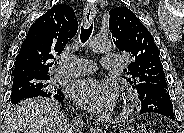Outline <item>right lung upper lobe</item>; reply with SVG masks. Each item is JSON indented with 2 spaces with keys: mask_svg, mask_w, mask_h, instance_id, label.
Segmentation results:
<instances>
[{
  "mask_svg": "<svg viewBox=\"0 0 184 133\" xmlns=\"http://www.w3.org/2000/svg\"><path fill=\"white\" fill-rule=\"evenodd\" d=\"M78 22L73 8L55 5L30 27L16 56L13 76L48 75L56 55L77 33Z\"/></svg>",
  "mask_w": 184,
  "mask_h": 133,
  "instance_id": "1",
  "label": "right lung upper lobe"
}]
</instances>
